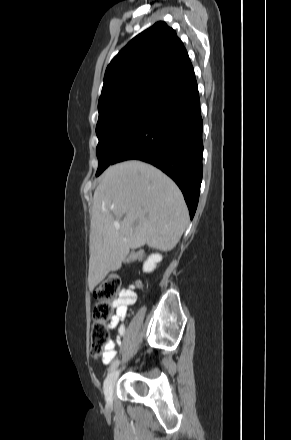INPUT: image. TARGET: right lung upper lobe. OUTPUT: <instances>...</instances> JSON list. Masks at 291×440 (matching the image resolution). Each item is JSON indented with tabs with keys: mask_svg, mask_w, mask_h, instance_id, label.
<instances>
[{
	"mask_svg": "<svg viewBox=\"0 0 291 440\" xmlns=\"http://www.w3.org/2000/svg\"><path fill=\"white\" fill-rule=\"evenodd\" d=\"M193 72L176 32L157 22L133 38L110 62L98 108L138 96L156 97Z\"/></svg>",
	"mask_w": 291,
	"mask_h": 440,
	"instance_id": "1",
	"label": "right lung upper lobe"
}]
</instances>
